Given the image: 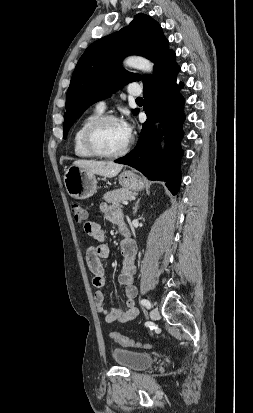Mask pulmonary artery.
I'll list each match as a JSON object with an SVG mask.
<instances>
[{"label":"pulmonary artery","instance_id":"e3ab8cb5","mask_svg":"<svg viewBox=\"0 0 253 413\" xmlns=\"http://www.w3.org/2000/svg\"><path fill=\"white\" fill-rule=\"evenodd\" d=\"M128 93L131 96H139L141 94V88L137 84H130L128 86ZM96 109L103 112L106 109V102L104 100L97 102Z\"/></svg>","mask_w":253,"mask_h":413}]
</instances>
